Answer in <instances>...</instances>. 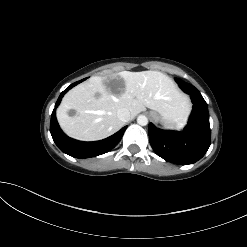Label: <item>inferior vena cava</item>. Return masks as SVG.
<instances>
[{
	"instance_id": "obj_1",
	"label": "inferior vena cava",
	"mask_w": 247,
	"mask_h": 247,
	"mask_svg": "<svg viewBox=\"0 0 247 247\" xmlns=\"http://www.w3.org/2000/svg\"><path fill=\"white\" fill-rule=\"evenodd\" d=\"M117 117L122 122H127L130 120V111L126 108H121L117 111Z\"/></svg>"
}]
</instances>
